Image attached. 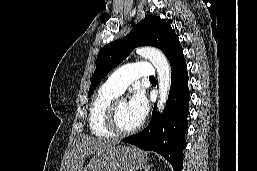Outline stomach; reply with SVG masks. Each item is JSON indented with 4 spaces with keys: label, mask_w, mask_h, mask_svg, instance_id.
<instances>
[{
    "label": "stomach",
    "mask_w": 257,
    "mask_h": 171,
    "mask_svg": "<svg viewBox=\"0 0 257 171\" xmlns=\"http://www.w3.org/2000/svg\"><path fill=\"white\" fill-rule=\"evenodd\" d=\"M145 162L142 151L114 145L95 153L84 171H137Z\"/></svg>",
    "instance_id": "0dacf381"
}]
</instances>
